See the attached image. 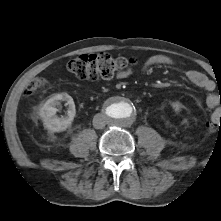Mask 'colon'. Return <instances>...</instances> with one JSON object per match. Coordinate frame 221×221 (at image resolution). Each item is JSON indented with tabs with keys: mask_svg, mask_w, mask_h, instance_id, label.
Wrapping results in <instances>:
<instances>
[{
	"mask_svg": "<svg viewBox=\"0 0 221 221\" xmlns=\"http://www.w3.org/2000/svg\"><path fill=\"white\" fill-rule=\"evenodd\" d=\"M135 64V59L117 57L109 53L81 55L68 63V69L79 79L96 80L109 79L127 70ZM45 85V80L36 79L28 87L27 93L33 94ZM208 127L221 128V109L212 115Z\"/></svg>",
	"mask_w": 221,
	"mask_h": 221,
	"instance_id": "obj_1",
	"label": "colon"
}]
</instances>
